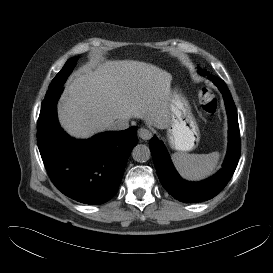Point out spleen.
Wrapping results in <instances>:
<instances>
[{
	"instance_id": "1",
	"label": "spleen",
	"mask_w": 273,
	"mask_h": 273,
	"mask_svg": "<svg viewBox=\"0 0 273 273\" xmlns=\"http://www.w3.org/2000/svg\"><path fill=\"white\" fill-rule=\"evenodd\" d=\"M220 154L212 152L209 154H187L174 153L173 160L180 174L189 180H200L213 173Z\"/></svg>"
}]
</instances>
